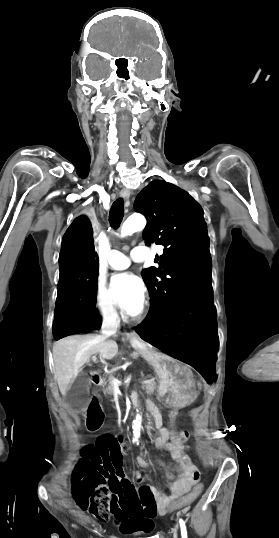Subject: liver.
<instances>
[{
    "mask_svg": "<svg viewBox=\"0 0 279 538\" xmlns=\"http://www.w3.org/2000/svg\"><path fill=\"white\" fill-rule=\"evenodd\" d=\"M94 354H101L105 360H112L118 354V346L113 340L104 342L102 336H68L55 342V376L62 396H66L70 384H73L82 366Z\"/></svg>",
    "mask_w": 279,
    "mask_h": 538,
    "instance_id": "1",
    "label": "liver"
}]
</instances>
